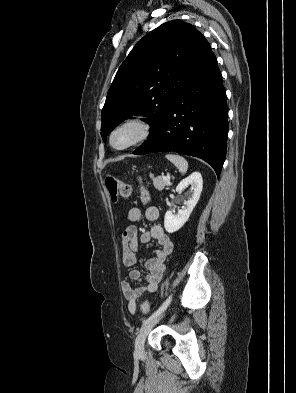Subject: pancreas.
<instances>
[{"instance_id":"pancreas-1","label":"pancreas","mask_w":296,"mask_h":393,"mask_svg":"<svg viewBox=\"0 0 296 393\" xmlns=\"http://www.w3.org/2000/svg\"><path fill=\"white\" fill-rule=\"evenodd\" d=\"M152 181H153V185L154 187L159 190L162 191L166 186L170 185L169 181H165L163 179V177H151Z\"/></svg>"}]
</instances>
